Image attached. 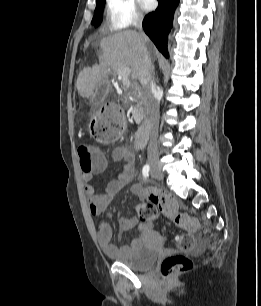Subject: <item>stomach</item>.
I'll return each instance as SVG.
<instances>
[{
  "mask_svg": "<svg viewBox=\"0 0 261 306\" xmlns=\"http://www.w3.org/2000/svg\"><path fill=\"white\" fill-rule=\"evenodd\" d=\"M99 117H100V113L98 112L95 115H93L92 120L97 121L99 119ZM122 126L125 127V122L124 121L122 122Z\"/></svg>",
  "mask_w": 261,
  "mask_h": 306,
  "instance_id": "obj_1",
  "label": "stomach"
}]
</instances>
